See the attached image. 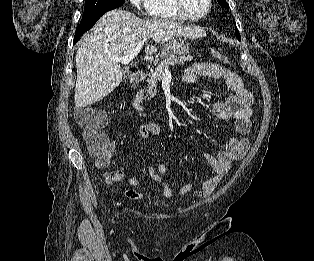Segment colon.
Wrapping results in <instances>:
<instances>
[{"label": "colon", "mask_w": 314, "mask_h": 261, "mask_svg": "<svg viewBox=\"0 0 314 261\" xmlns=\"http://www.w3.org/2000/svg\"><path fill=\"white\" fill-rule=\"evenodd\" d=\"M212 54L218 61L231 62L227 54L221 50L215 49ZM74 119L92 155L100 158L111 151V143L101 131L104 115L100 110L93 107H78L74 111ZM107 178L113 180V176Z\"/></svg>", "instance_id": "obj_1"}]
</instances>
